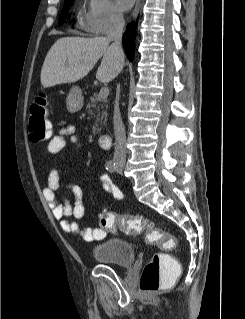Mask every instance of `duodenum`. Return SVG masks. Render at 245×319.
<instances>
[{"label":"duodenum","mask_w":245,"mask_h":319,"mask_svg":"<svg viewBox=\"0 0 245 319\" xmlns=\"http://www.w3.org/2000/svg\"><path fill=\"white\" fill-rule=\"evenodd\" d=\"M99 144L101 148L107 150L111 147V135L110 134H102L99 137Z\"/></svg>","instance_id":"410a0bca"}]
</instances>
